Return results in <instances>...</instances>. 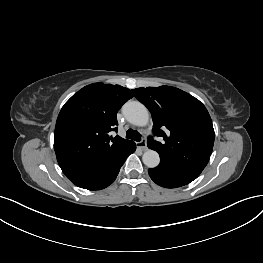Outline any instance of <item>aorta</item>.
<instances>
[{
    "label": "aorta",
    "mask_w": 263,
    "mask_h": 263,
    "mask_svg": "<svg viewBox=\"0 0 263 263\" xmlns=\"http://www.w3.org/2000/svg\"><path fill=\"white\" fill-rule=\"evenodd\" d=\"M122 112L125 118L133 125L146 126L149 122L148 109L139 101H129L124 104ZM143 163L150 168L159 165V154L154 150H147L142 156Z\"/></svg>",
    "instance_id": "obj_1"
}]
</instances>
